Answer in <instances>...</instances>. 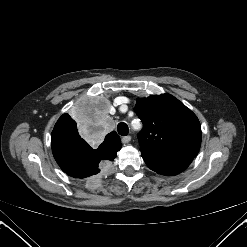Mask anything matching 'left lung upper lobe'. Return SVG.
I'll return each mask as SVG.
<instances>
[{"mask_svg":"<svg viewBox=\"0 0 247 247\" xmlns=\"http://www.w3.org/2000/svg\"><path fill=\"white\" fill-rule=\"evenodd\" d=\"M136 114L143 122L139 134L141 156L162 160L192 161L201 145L196 115L170 94L138 98Z\"/></svg>","mask_w":247,"mask_h":247,"instance_id":"5c2ea615","label":"left lung upper lobe"}]
</instances>
